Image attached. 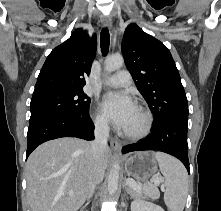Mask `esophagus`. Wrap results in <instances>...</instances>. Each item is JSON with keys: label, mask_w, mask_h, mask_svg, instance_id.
<instances>
[{"label": "esophagus", "mask_w": 221, "mask_h": 211, "mask_svg": "<svg viewBox=\"0 0 221 211\" xmlns=\"http://www.w3.org/2000/svg\"><path fill=\"white\" fill-rule=\"evenodd\" d=\"M101 22L104 27H112V21L109 16H103L101 18ZM111 147H112L113 151L118 152V153L121 151V148H122L121 143L115 139L111 140Z\"/></svg>", "instance_id": "esophagus-1"}]
</instances>
